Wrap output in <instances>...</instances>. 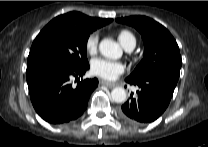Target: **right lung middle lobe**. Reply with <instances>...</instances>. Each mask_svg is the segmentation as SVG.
Here are the masks:
<instances>
[{
  "label": "right lung middle lobe",
  "mask_w": 208,
  "mask_h": 147,
  "mask_svg": "<svg viewBox=\"0 0 208 147\" xmlns=\"http://www.w3.org/2000/svg\"><path fill=\"white\" fill-rule=\"evenodd\" d=\"M93 29L70 22H50L35 38L27 69L45 64L73 68L88 66L86 45Z\"/></svg>",
  "instance_id": "obj_1"
}]
</instances>
